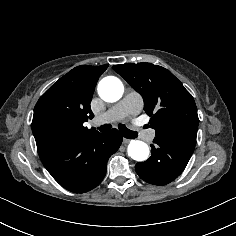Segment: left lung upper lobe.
Here are the masks:
<instances>
[{
    "instance_id": "left-lung-upper-lobe-1",
    "label": "left lung upper lobe",
    "mask_w": 236,
    "mask_h": 236,
    "mask_svg": "<svg viewBox=\"0 0 236 236\" xmlns=\"http://www.w3.org/2000/svg\"><path fill=\"white\" fill-rule=\"evenodd\" d=\"M144 100L156 139L194 150L199 119L192 95L169 70L151 63L112 67Z\"/></svg>"
}]
</instances>
